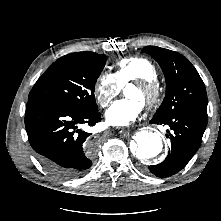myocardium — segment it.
I'll return each mask as SVG.
<instances>
[{
    "label": "myocardium",
    "instance_id": "obj_1",
    "mask_svg": "<svg viewBox=\"0 0 221 221\" xmlns=\"http://www.w3.org/2000/svg\"><path fill=\"white\" fill-rule=\"evenodd\" d=\"M131 85L137 87L143 92V103L146 107L153 108L160 102L161 90L156 81L149 79H136L132 81Z\"/></svg>",
    "mask_w": 221,
    "mask_h": 221
}]
</instances>
